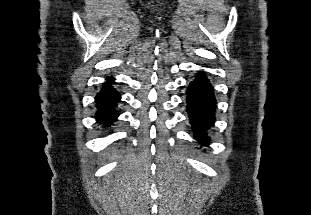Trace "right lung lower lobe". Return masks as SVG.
<instances>
[{
    "label": "right lung lower lobe",
    "mask_w": 311,
    "mask_h": 215,
    "mask_svg": "<svg viewBox=\"0 0 311 215\" xmlns=\"http://www.w3.org/2000/svg\"><path fill=\"white\" fill-rule=\"evenodd\" d=\"M113 80L112 77L107 78V81L103 84V88L95 97L97 107L96 119L105 126L114 122L119 115L116 111V106L121 96L112 87Z\"/></svg>",
    "instance_id": "right-lung-lower-lobe-1"
}]
</instances>
